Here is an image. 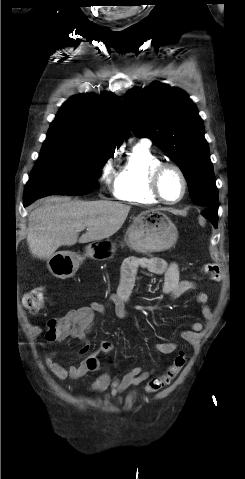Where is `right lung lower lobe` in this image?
<instances>
[{
    "mask_svg": "<svg viewBox=\"0 0 245 479\" xmlns=\"http://www.w3.org/2000/svg\"><path fill=\"white\" fill-rule=\"evenodd\" d=\"M37 199H38V197L30 198V199H24V206L27 207L28 205H30L31 203H33Z\"/></svg>",
    "mask_w": 245,
    "mask_h": 479,
    "instance_id": "98d812e1",
    "label": "right lung lower lobe"
}]
</instances>
